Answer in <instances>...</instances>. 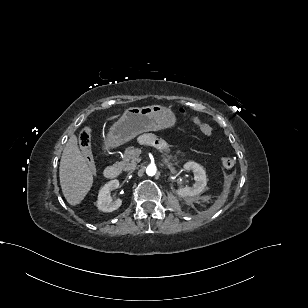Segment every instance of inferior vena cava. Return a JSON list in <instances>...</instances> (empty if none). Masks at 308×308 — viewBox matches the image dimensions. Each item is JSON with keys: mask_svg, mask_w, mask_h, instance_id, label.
<instances>
[{"mask_svg": "<svg viewBox=\"0 0 308 308\" xmlns=\"http://www.w3.org/2000/svg\"><path fill=\"white\" fill-rule=\"evenodd\" d=\"M129 174H134V168H129Z\"/></svg>", "mask_w": 308, "mask_h": 308, "instance_id": "602c4592", "label": "inferior vena cava"}]
</instances>
